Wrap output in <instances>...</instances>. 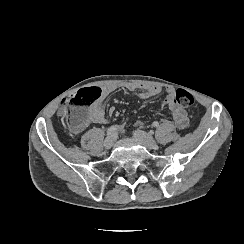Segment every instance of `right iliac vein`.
Returning <instances> with one entry per match:
<instances>
[{
  "mask_svg": "<svg viewBox=\"0 0 244 244\" xmlns=\"http://www.w3.org/2000/svg\"><path fill=\"white\" fill-rule=\"evenodd\" d=\"M113 142H114V138L112 136L110 137H107L105 140H104V146L106 149H110L113 145Z\"/></svg>",
  "mask_w": 244,
  "mask_h": 244,
  "instance_id": "1",
  "label": "right iliac vein"
}]
</instances>
